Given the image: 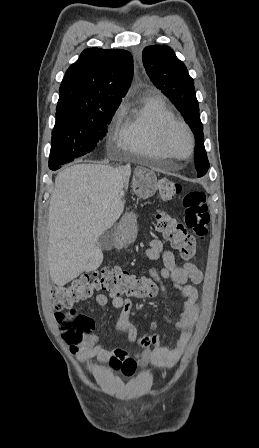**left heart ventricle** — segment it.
Instances as JSON below:
<instances>
[{
  "mask_svg": "<svg viewBox=\"0 0 259 448\" xmlns=\"http://www.w3.org/2000/svg\"><path fill=\"white\" fill-rule=\"evenodd\" d=\"M171 149L148 150L146 156L156 160L165 162H180V164L187 161L189 141L186 133L181 128H175L170 135Z\"/></svg>",
  "mask_w": 259,
  "mask_h": 448,
  "instance_id": "b2bd125f",
  "label": "left heart ventricle"
}]
</instances>
